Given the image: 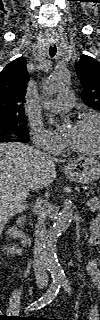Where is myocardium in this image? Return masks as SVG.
<instances>
[{
	"instance_id": "obj_1",
	"label": "myocardium",
	"mask_w": 100,
	"mask_h": 320,
	"mask_svg": "<svg viewBox=\"0 0 100 320\" xmlns=\"http://www.w3.org/2000/svg\"><path fill=\"white\" fill-rule=\"evenodd\" d=\"M87 120H95L98 123V127H99V134H98V144L94 149H82L79 148L77 146H75L74 144H72L69 140H66V145L67 147L79 154H83V155H96L100 152V117L97 114L94 113H85L82 114L77 120L76 123H81Z\"/></svg>"
}]
</instances>
